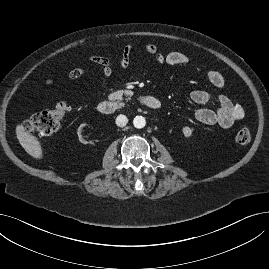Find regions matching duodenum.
<instances>
[{
	"mask_svg": "<svg viewBox=\"0 0 269 269\" xmlns=\"http://www.w3.org/2000/svg\"><path fill=\"white\" fill-rule=\"evenodd\" d=\"M139 103L146 108L157 111L161 108V102L159 99L153 96H142L138 99ZM118 104L113 101L104 100L97 105V111L103 115H112L118 111Z\"/></svg>",
	"mask_w": 269,
	"mask_h": 269,
	"instance_id": "obj_1",
	"label": "duodenum"
}]
</instances>
